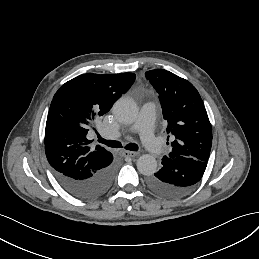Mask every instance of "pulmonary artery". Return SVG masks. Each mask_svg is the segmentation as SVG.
<instances>
[{"instance_id": "pulmonary-artery-1", "label": "pulmonary artery", "mask_w": 259, "mask_h": 259, "mask_svg": "<svg viewBox=\"0 0 259 259\" xmlns=\"http://www.w3.org/2000/svg\"><path fill=\"white\" fill-rule=\"evenodd\" d=\"M157 111V105L154 103H147L143 105L137 114L136 118L142 119L147 116V114L150 112L152 115H155ZM121 135V132L119 131H105L101 134L102 138L104 139H117Z\"/></svg>"}]
</instances>
